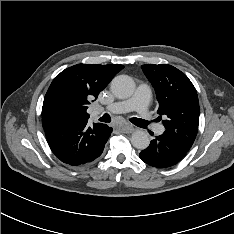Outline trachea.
Here are the masks:
<instances>
[{
	"instance_id": "obj_1",
	"label": "trachea",
	"mask_w": 234,
	"mask_h": 234,
	"mask_svg": "<svg viewBox=\"0 0 234 234\" xmlns=\"http://www.w3.org/2000/svg\"><path fill=\"white\" fill-rule=\"evenodd\" d=\"M111 118L108 114H104L101 118L100 121L102 122H110ZM131 121L133 123H137L141 126H147L149 124L148 121L142 120V119H138V118H132Z\"/></svg>"
}]
</instances>
